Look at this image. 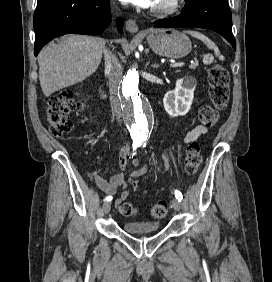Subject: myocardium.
Returning a JSON list of instances; mask_svg holds the SVG:
<instances>
[{"mask_svg": "<svg viewBox=\"0 0 272 282\" xmlns=\"http://www.w3.org/2000/svg\"><path fill=\"white\" fill-rule=\"evenodd\" d=\"M182 1L183 0H174L173 3L170 6L163 8V9L152 8L151 12L154 15L161 16V17L171 16V15L177 13L181 9Z\"/></svg>", "mask_w": 272, "mask_h": 282, "instance_id": "myocardium-1", "label": "myocardium"}]
</instances>
